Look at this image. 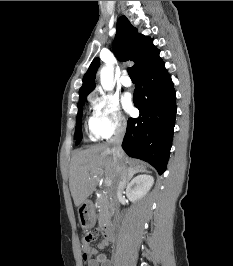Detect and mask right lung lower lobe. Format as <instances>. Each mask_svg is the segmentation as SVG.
<instances>
[{
  "instance_id": "obj_1",
  "label": "right lung lower lobe",
  "mask_w": 233,
  "mask_h": 266,
  "mask_svg": "<svg viewBox=\"0 0 233 266\" xmlns=\"http://www.w3.org/2000/svg\"><path fill=\"white\" fill-rule=\"evenodd\" d=\"M134 105L138 118H129L122 148L130 157L166 170L176 117V94L171 76L159 55L136 72Z\"/></svg>"
}]
</instances>
